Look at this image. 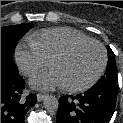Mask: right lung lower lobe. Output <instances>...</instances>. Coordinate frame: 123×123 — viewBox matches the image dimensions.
<instances>
[{"instance_id": "obj_1", "label": "right lung lower lobe", "mask_w": 123, "mask_h": 123, "mask_svg": "<svg viewBox=\"0 0 123 123\" xmlns=\"http://www.w3.org/2000/svg\"><path fill=\"white\" fill-rule=\"evenodd\" d=\"M24 87L18 71L1 65V123H24L25 114L37 103L34 94L22 97Z\"/></svg>"}]
</instances>
